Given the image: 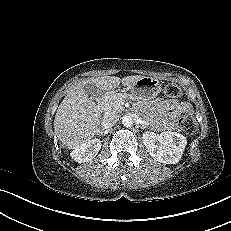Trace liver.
I'll return each mask as SVG.
<instances>
[{"label": "liver", "mask_w": 231, "mask_h": 231, "mask_svg": "<svg viewBox=\"0 0 231 231\" xmlns=\"http://www.w3.org/2000/svg\"><path fill=\"white\" fill-rule=\"evenodd\" d=\"M142 77L132 75L121 79L115 76H103L85 79L74 86L60 103L54 119V132L62 145L74 149L91 140L99 131L100 113L84 90L86 84H95L100 91H111L120 83L129 87Z\"/></svg>", "instance_id": "6515ba94"}]
</instances>
